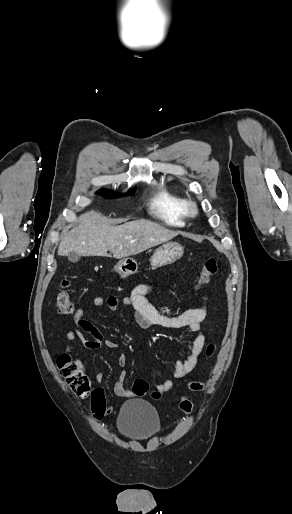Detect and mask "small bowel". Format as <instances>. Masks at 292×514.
<instances>
[{"instance_id": "small-bowel-1", "label": "small bowel", "mask_w": 292, "mask_h": 514, "mask_svg": "<svg viewBox=\"0 0 292 514\" xmlns=\"http://www.w3.org/2000/svg\"><path fill=\"white\" fill-rule=\"evenodd\" d=\"M153 290V285L147 283H141L136 285L128 296L119 298L115 295L107 297L96 296L92 300V304L96 308L103 306L108 307L110 310L115 311L119 305L128 307L133 314L136 324L143 328L148 329L151 327H160L163 329H179L188 328L190 331L195 333L193 339L188 340L187 353L183 360L175 363L173 371L174 379H182L190 374L195 368L198 356L202 351L205 343V335L202 331L201 323L207 317V297H203V302L200 307L188 309L175 315H167L160 312L154 305H152L147 295ZM73 322L75 325L74 330L67 331L65 338L67 340L66 351L72 352L73 344L77 339L81 340L84 347L90 350L99 349L105 346L110 350H117L119 344L113 340H105L100 330L85 317V310L82 307L76 309ZM83 333L90 334L91 338H84ZM127 355L122 353L118 357V365L123 367L127 363ZM77 369L83 371L86 366L83 365L81 360L76 362ZM95 381H101L103 374L96 372L93 375ZM126 375L123 373L118 376L114 384V393L121 398H131L134 396L133 392L124 386V380ZM173 387V381L168 379L156 386V391L165 393L171 390ZM109 414L114 412V406L110 405L107 409Z\"/></svg>"}]
</instances>
